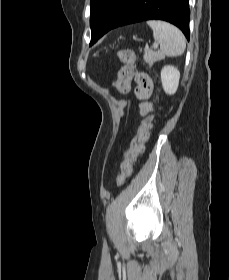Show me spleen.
<instances>
[{
	"label": "spleen",
	"instance_id": "spleen-1",
	"mask_svg": "<svg viewBox=\"0 0 229 280\" xmlns=\"http://www.w3.org/2000/svg\"><path fill=\"white\" fill-rule=\"evenodd\" d=\"M147 24L153 30L154 40L160 44L161 54L169 57L182 55L186 42L183 33L177 27L160 20H150Z\"/></svg>",
	"mask_w": 229,
	"mask_h": 280
}]
</instances>
